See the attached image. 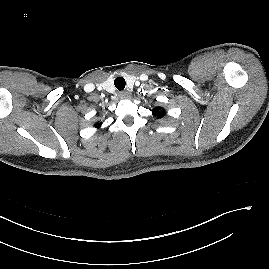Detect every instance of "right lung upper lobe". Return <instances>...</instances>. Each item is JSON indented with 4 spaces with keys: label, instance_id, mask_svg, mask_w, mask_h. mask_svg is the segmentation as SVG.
Masks as SVG:
<instances>
[{
    "label": "right lung upper lobe",
    "instance_id": "1",
    "mask_svg": "<svg viewBox=\"0 0 269 269\" xmlns=\"http://www.w3.org/2000/svg\"><path fill=\"white\" fill-rule=\"evenodd\" d=\"M101 126V123H99V122H97L96 124H95V127H100Z\"/></svg>",
    "mask_w": 269,
    "mask_h": 269
}]
</instances>
